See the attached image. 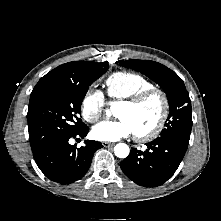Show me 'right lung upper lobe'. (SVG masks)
I'll return each mask as SVG.
<instances>
[{"mask_svg":"<svg viewBox=\"0 0 221 221\" xmlns=\"http://www.w3.org/2000/svg\"><path fill=\"white\" fill-rule=\"evenodd\" d=\"M71 74H72V62L60 65L57 68L50 71L49 73H47L45 76H43L36 84L32 92H35L36 90H38L39 88H41L42 86H44L49 82L68 77Z\"/></svg>","mask_w":221,"mask_h":221,"instance_id":"obj_1","label":"right lung upper lobe"}]
</instances>
